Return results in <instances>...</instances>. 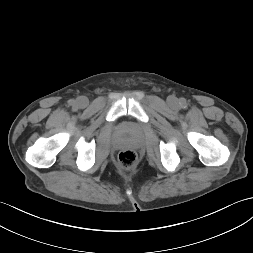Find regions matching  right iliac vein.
Masks as SVG:
<instances>
[{
    "label": "right iliac vein",
    "mask_w": 253,
    "mask_h": 253,
    "mask_svg": "<svg viewBox=\"0 0 253 253\" xmlns=\"http://www.w3.org/2000/svg\"><path fill=\"white\" fill-rule=\"evenodd\" d=\"M88 105V99L86 97H80L77 100V106L84 108Z\"/></svg>",
    "instance_id": "obj_1"
}]
</instances>
